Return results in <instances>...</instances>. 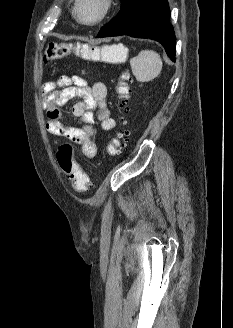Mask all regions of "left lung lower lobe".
<instances>
[{
  "label": "left lung lower lobe",
  "mask_w": 233,
  "mask_h": 328,
  "mask_svg": "<svg viewBox=\"0 0 233 328\" xmlns=\"http://www.w3.org/2000/svg\"><path fill=\"white\" fill-rule=\"evenodd\" d=\"M169 19L167 0H125L117 16L101 28L97 37L128 35L154 39L175 61V33Z\"/></svg>",
  "instance_id": "0a47b994"
}]
</instances>
